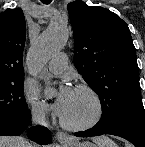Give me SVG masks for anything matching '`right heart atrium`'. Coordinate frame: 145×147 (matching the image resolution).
<instances>
[{
    "label": "right heart atrium",
    "instance_id": "right-heart-atrium-1",
    "mask_svg": "<svg viewBox=\"0 0 145 147\" xmlns=\"http://www.w3.org/2000/svg\"><path fill=\"white\" fill-rule=\"evenodd\" d=\"M25 100L31 119L38 124H44L49 116L47 105L40 100L38 92L32 87H25Z\"/></svg>",
    "mask_w": 145,
    "mask_h": 147
}]
</instances>
